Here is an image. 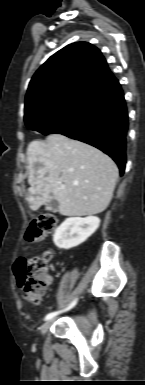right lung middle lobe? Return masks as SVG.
<instances>
[{"label":"right lung middle lobe","instance_id":"right-lung-middle-lobe-1","mask_svg":"<svg viewBox=\"0 0 145 385\" xmlns=\"http://www.w3.org/2000/svg\"><path fill=\"white\" fill-rule=\"evenodd\" d=\"M97 93L88 89L66 91L25 114L26 126L44 135L51 134L79 113Z\"/></svg>","mask_w":145,"mask_h":385}]
</instances>
